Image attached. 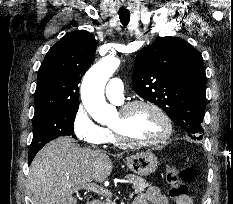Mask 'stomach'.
Wrapping results in <instances>:
<instances>
[{"mask_svg": "<svg viewBox=\"0 0 233 204\" xmlns=\"http://www.w3.org/2000/svg\"><path fill=\"white\" fill-rule=\"evenodd\" d=\"M126 164L133 173L148 176L157 169L159 162L153 153L143 151L127 157Z\"/></svg>", "mask_w": 233, "mask_h": 204, "instance_id": "obj_1", "label": "stomach"}]
</instances>
